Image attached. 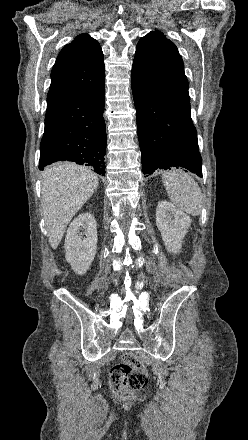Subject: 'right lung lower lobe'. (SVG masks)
<instances>
[{"label":"right lung lower lobe","mask_w":248,"mask_h":440,"mask_svg":"<svg viewBox=\"0 0 248 440\" xmlns=\"http://www.w3.org/2000/svg\"><path fill=\"white\" fill-rule=\"evenodd\" d=\"M105 81L93 90L47 102L39 169L57 161H74L105 175Z\"/></svg>","instance_id":"obj_1"}]
</instances>
